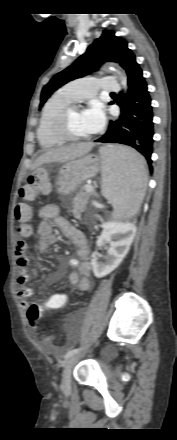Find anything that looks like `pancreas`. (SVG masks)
<instances>
[{
    "label": "pancreas",
    "instance_id": "obj_1",
    "mask_svg": "<svg viewBox=\"0 0 177 440\" xmlns=\"http://www.w3.org/2000/svg\"><path fill=\"white\" fill-rule=\"evenodd\" d=\"M86 187L84 188L85 191L80 190V192L77 194V196L73 200L71 212L76 219L81 218V213L84 212L89 197L91 195H93V192L87 191Z\"/></svg>",
    "mask_w": 177,
    "mask_h": 440
}]
</instances>
